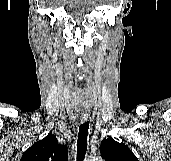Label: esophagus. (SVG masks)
<instances>
[{"label":"esophagus","instance_id":"34e87169","mask_svg":"<svg viewBox=\"0 0 171 161\" xmlns=\"http://www.w3.org/2000/svg\"><path fill=\"white\" fill-rule=\"evenodd\" d=\"M88 113L87 112H80L79 113V119L80 121L83 123V122H86L87 119H88Z\"/></svg>","mask_w":171,"mask_h":161}]
</instances>
